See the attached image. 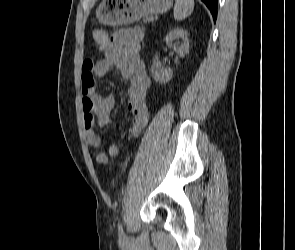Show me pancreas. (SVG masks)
Returning a JSON list of instances; mask_svg holds the SVG:
<instances>
[{"mask_svg": "<svg viewBox=\"0 0 295 250\" xmlns=\"http://www.w3.org/2000/svg\"><path fill=\"white\" fill-rule=\"evenodd\" d=\"M151 20H153V18L151 16H149V17L144 18L143 21L146 23V22H149Z\"/></svg>", "mask_w": 295, "mask_h": 250, "instance_id": "cf45deb5", "label": "pancreas"}]
</instances>
